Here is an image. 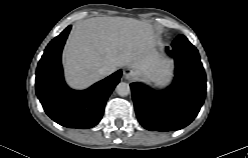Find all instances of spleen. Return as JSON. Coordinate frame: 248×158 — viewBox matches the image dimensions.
I'll return each mask as SVG.
<instances>
[{"instance_id": "obj_1", "label": "spleen", "mask_w": 248, "mask_h": 158, "mask_svg": "<svg viewBox=\"0 0 248 158\" xmlns=\"http://www.w3.org/2000/svg\"><path fill=\"white\" fill-rule=\"evenodd\" d=\"M167 83H168V79H161L155 83V86L162 87L165 86Z\"/></svg>"}]
</instances>
